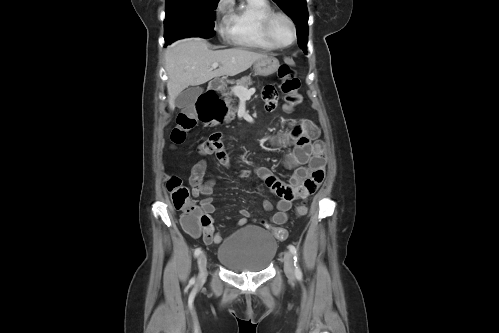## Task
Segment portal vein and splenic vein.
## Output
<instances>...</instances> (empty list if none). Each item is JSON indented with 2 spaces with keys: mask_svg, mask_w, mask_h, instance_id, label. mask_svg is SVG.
Here are the masks:
<instances>
[{
  "mask_svg": "<svg viewBox=\"0 0 499 333\" xmlns=\"http://www.w3.org/2000/svg\"><path fill=\"white\" fill-rule=\"evenodd\" d=\"M218 66H219V63H213L212 64V69H215ZM232 91L240 99H249L251 97V95L254 94V92H255L254 89L248 90L247 88H245L243 86H238V85L234 86L232 88Z\"/></svg>",
  "mask_w": 499,
  "mask_h": 333,
  "instance_id": "obj_1",
  "label": "portal vein and splenic vein"
}]
</instances>
